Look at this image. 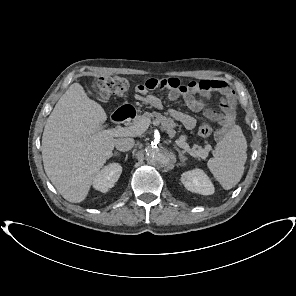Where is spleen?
Returning <instances> with one entry per match:
<instances>
[{
  "mask_svg": "<svg viewBox=\"0 0 296 296\" xmlns=\"http://www.w3.org/2000/svg\"><path fill=\"white\" fill-rule=\"evenodd\" d=\"M247 142L239 126H234L216 145L207 167L224 189L233 188L241 179L247 160Z\"/></svg>",
  "mask_w": 296,
  "mask_h": 296,
  "instance_id": "obj_1",
  "label": "spleen"
}]
</instances>
